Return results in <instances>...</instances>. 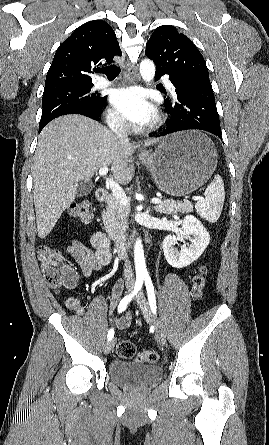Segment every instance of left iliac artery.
<instances>
[{
  "mask_svg": "<svg viewBox=\"0 0 269 445\" xmlns=\"http://www.w3.org/2000/svg\"><path fill=\"white\" fill-rule=\"evenodd\" d=\"M144 280H145V285H146V289H147L149 305H150L152 312L155 314L157 307H156V297H155V292H154V286L152 284V281H151V278L149 275H146L144 277Z\"/></svg>",
  "mask_w": 269,
  "mask_h": 445,
  "instance_id": "obj_1",
  "label": "left iliac artery"
}]
</instances>
